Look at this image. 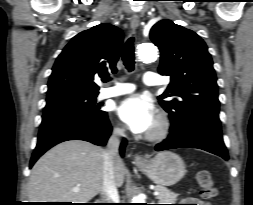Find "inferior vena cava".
I'll return each instance as SVG.
<instances>
[{
  "instance_id": "obj_1",
  "label": "inferior vena cava",
  "mask_w": 253,
  "mask_h": 205,
  "mask_svg": "<svg viewBox=\"0 0 253 205\" xmlns=\"http://www.w3.org/2000/svg\"><path fill=\"white\" fill-rule=\"evenodd\" d=\"M124 135V129L115 128L108 140L107 149L103 152V183L100 192L103 203H118L119 201L114 174V161L118 157L120 137Z\"/></svg>"
}]
</instances>
